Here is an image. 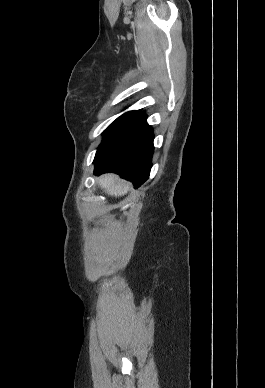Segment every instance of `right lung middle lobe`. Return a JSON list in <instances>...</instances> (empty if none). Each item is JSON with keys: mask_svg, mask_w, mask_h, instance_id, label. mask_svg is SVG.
<instances>
[{"mask_svg": "<svg viewBox=\"0 0 265 388\" xmlns=\"http://www.w3.org/2000/svg\"><path fill=\"white\" fill-rule=\"evenodd\" d=\"M141 110L129 111L124 113L120 117H118L114 122H112L108 128L103 132V140L101 142L104 143L112 136H114L119 130H121L125 125H127L132 119H134Z\"/></svg>", "mask_w": 265, "mask_h": 388, "instance_id": "obj_1", "label": "right lung middle lobe"}]
</instances>
